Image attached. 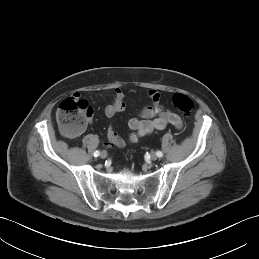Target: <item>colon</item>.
I'll return each instance as SVG.
<instances>
[{
	"label": "colon",
	"mask_w": 259,
	"mask_h": 259,
	"mask_svg": "<svg viewBox=\"0 0 259 259\" xmlns=\"http://www.w3.org/2000/svg\"><path fill=\"white\" fill-rule=\"evenodd\" d=\"M172 103L185 116L190 115L194 109L193 100L183 93L174 94ZM91 115V107L77 96H70L61 101L56 111L59 128L69 137L80 134Z\"/></svg>",
	"instance_id": "obj_1"
}]
</instances>
